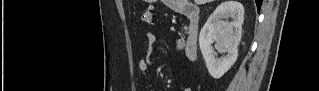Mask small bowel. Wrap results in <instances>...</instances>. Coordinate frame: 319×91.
Returning <instances> with one entry per match:
<instances>
[{
	"label": "small bowel",
	"instance_id": "c3829d8e",
	"mask_svg": "<svg viewBox=\"0 0 319 91\" xmlns=\"http://www.w3.org/2000/svg\"><path fill=\"white\" fill-rule=\"evenodd\" d=\"M146 37L148 41V52L151 53L152 50L155 48V46L158 44L159 38L153 32H149ZM151 64H152L151 58L146 57L140 60L139 67L142 72L146 73L148 69L150 68Z\"/></svg>",
	"mask_w": 319,
	"mask_h": 91
}]
</instances>
